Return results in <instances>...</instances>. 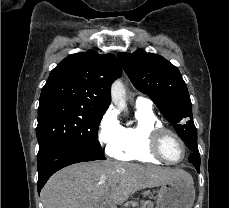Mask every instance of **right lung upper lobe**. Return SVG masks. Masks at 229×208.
I'll return each instance as SVG.
<instances>
[{
  "label": "right lung upper lobe",
  "mask_w": 229,
  "mask_h": 208,
  "mask_svg": "<svg viewBox=\"0 0 229 208\" xmlns=\"http://www.w3.org/2000/svg\"><path fill=\"white\" fill-rule=\"evenodd\" d=\"M120 75V65L112 54L99 55L89 50L70 55L51 71L40 103L74 102L103 116L111 102V84Z\"/></svg>",
  "instance_id": "right-lung-upper-lobe-1"
}]
</instances>
